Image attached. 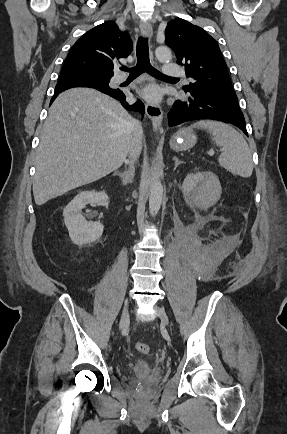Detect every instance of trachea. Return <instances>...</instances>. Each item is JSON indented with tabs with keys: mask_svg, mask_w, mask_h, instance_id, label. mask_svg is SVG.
Returning <instances> with one entry per match:
<instances>
[{
	"mask_svg": "<svg viewBox=\"0 0 287 434\" xmlns=\"http://www.w3.org/2000/svg\"><path fill=\"white\" fill-rule=\"evenodd\" d=\"M136 55H137L136 66L132 68H127V67L121 68V70L129 72V78H137L139 75H141L144 72H147L148 74L156 78H172L170 76H166L162 74L154 67H152V65L150 64L148 38L139 37L137 42Z\"/></svg>",
	"mask_w": 287,
	"mask_h": 434,
	"instance_id": "obj_1",
	"label": "trachea"
}]
</instances>
